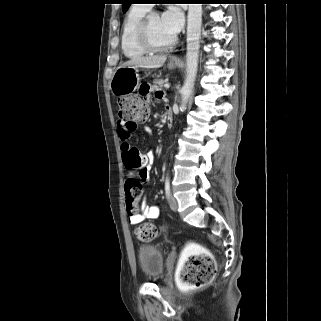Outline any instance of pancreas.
Returning a JSON list of instances; mask_svg holds the SVG:
<instances>
[{
  "label": "pancreas",
  "mask_w": 321,
  "mask_h": 321,
  "mask_svg": "<svg viewBox=\"0 0 321 321\" xmlns=\"http://www.w3.org/2000/svg\"><path fill=\"white\" fill-rule=\"evenodd\" d=\"M167 81H168L167 79H156L154 81V85L161 88V87H163V85H165L167 83Z\"/></svg>",
  "instance_id": "obj_1"
}]
</instances>
